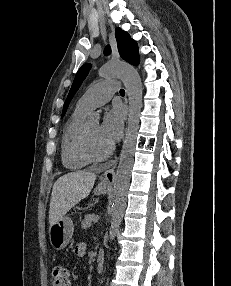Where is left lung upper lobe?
<instances>
[{"instance_id": "obj_1", "label": "left lung upper lobe", "mask_w": 231, "mask_h": 286, "mask_svg": "<svg viewBox=\"0 0 231 286\" xmlns=\"http://www.w3.org/2000/svg\"><path fill=\"white\" fill-rule=\"evenodd\" d=\"M115 37L117 40V46H118V50H119L121 57L125 61L129 62L130 64L137 66L139 64V53H138L137 43L133 39H131L129 34L125 31H123L121 28H116ZM110 52H111L110 46H107L104 50V53L106 55H108V54H110ZM90 68H91V65L89 63H87V64H84L78 70V72L75 76L74 82L72 84V87H71L69 94L67 96V99L64 103L62 117L64 116V114L68 108V105H69L71 99L73 98L74 94L76 93V91L80 87L81 83L83 82V80L87 76Z\"/></svg>"}]
</instances>
